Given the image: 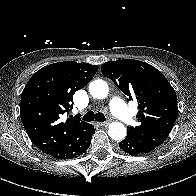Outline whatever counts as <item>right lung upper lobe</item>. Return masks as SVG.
Returning a JSON list of instances; mask_svg holds the SVG:
<instances>
[{"instance_id": "right-lung-upper-lobe-1", "label": "right lung upper lobe", "mask_w": 196, "mask_h": 196, "mask_svg": "<svg viewBox=\"0 0 196 196\" xmlns=\"http://www.w3.org/2000/svg\"><path fill=\"white\" fill-rule=\"evenodd\" d=\"M98 66L74 61L58 62L38 70L21 95V119L31 141L51 154L67 146L89 124L79 117L60 118L69 112L74 93L85 87Z\"/></svg>"}]
</instances>
